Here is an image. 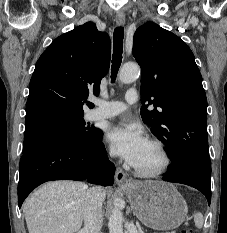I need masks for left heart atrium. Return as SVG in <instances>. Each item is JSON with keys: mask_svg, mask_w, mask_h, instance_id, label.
Returning a JSON list of instances; mask_svg holds the SVG:
<instances>
[{"mask_svg": "<svg viewBox=\"0 0 227 233\" xmlns=\"http://www.w3.org/2000/svg\"><path fill=\"white\" fill-rule=\"evenodd\" d=\"M106 139L113 151L134 164L147 144L141 129L135 124H118L109 128Z\"/></svg>", "mask_w": 227, "mask_h": 233, "instance_id": "left-heart-atrium-1", "label": "left heart atrium"}]
</instances>
